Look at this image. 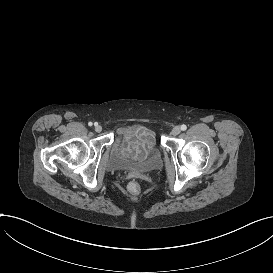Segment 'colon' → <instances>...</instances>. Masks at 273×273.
<instances>
[{
    "label": "colon",
    "mask_w": 273,
    "mask_h": 273,
    "mask_svg": "<svg viewBox=\"0 0 273 273\" xmlns=\"http://www.w3.org/2000/svg\"><path fill=\"white\" fill-rule=\"evenodd\" d=\"M123 192L126 197L130 199H135L140 196L142 192V187L139 182L135 180H130L125 183L123 187Z\"/></svg>",
    "instance_id": "colon-1"
}]
</instances>
